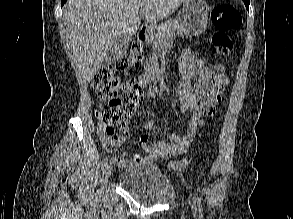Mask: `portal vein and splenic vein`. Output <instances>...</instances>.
Returning <instances> with one entry per match:
<instances>
[{"label": "portal vein and splenic vein", "instance_id": "portal-vein-and-splenic-vein-1", "mask_svg": "<svg viewBox=\"0 0 293 219\" xmlns=\"http://www.w3.org/2000/svg\"><path fill=\"white\" fill-rule=\"evenodd\" d=\"M137 16H138V18L142 17V16H144V13L141 12V13L137 14Z\"/></svg>", "mask_w": 293, "mask_h": 219}]
</instances>
